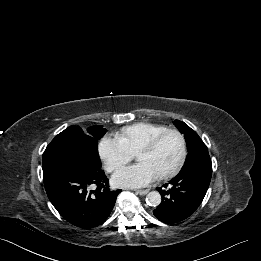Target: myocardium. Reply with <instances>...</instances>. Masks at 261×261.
<instances>
[{
    "instance_id": "obj_1",
    "label": "myocardium",
    "mask_w": 261,
    "mask_h": 261,
    "mask_svg": "<svg viewBox=\"0 0 261 261\" xmlns=\"http://www.w3.org/2000/svg\"><path fill=\"white\" fill-rule=\"evenodd\" d=\"M168 134H175L176 136H178L181 144V152L176 165L170 171L157 176L158 180H167L174 177L184 166L186 155H187V145L183 134L176 129H166L153 136L146 144L140 147L135 153V156H137L139 154L151 152L156 147L158 142Z\"/></svg>"
}]
</instances>
